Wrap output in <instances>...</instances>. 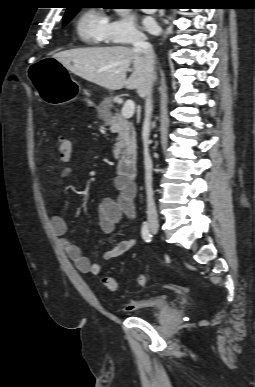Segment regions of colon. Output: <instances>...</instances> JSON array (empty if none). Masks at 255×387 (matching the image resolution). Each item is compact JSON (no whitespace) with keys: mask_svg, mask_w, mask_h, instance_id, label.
Returning a JSON list of instances; mask_svg holds the SVG:
<instances>
[{"mask_svg":"<svg viewBox=\"0 0 255 387\" xmlns=\"http://www.w3.org/2000/svg\"><path fill=\"white\" fill-rule=\"evenodd\" d=\"M57 147L59 155L68 156L73 152V144L69 138L64 135L57 136ZM136 284L143 287L147 284V277L140 274L136 277ZM102 285L109 291L115 292L118 290V281L111 276H105L102 279Z\"/></svg>","mask_w":255,"mask_h":387,"instance_id":"5ec220e1","label":"colon"}]
</instances>
